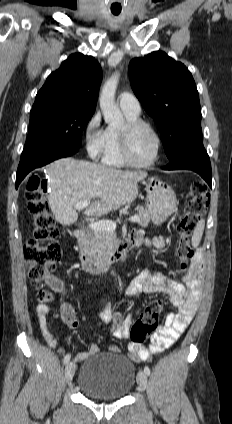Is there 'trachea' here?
<instances>
[{"label":"trachea","mask_w":232,"mask_h":424,"mask_svg":"<svg viewBox=\"0 0 232 424\" xmlns=\"http://www.w3.org/2000/svg\"><path fill=\"white\" fill-rule=\"evenodd\" d=\"M114 15H118L119 13L113 12Z\"/></svg>","instance_id":"1"}]
</instances>
